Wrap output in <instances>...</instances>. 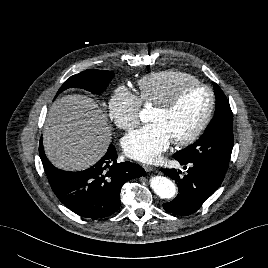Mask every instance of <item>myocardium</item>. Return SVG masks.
Returning a JSON list of instances; mask_svg holds the SVG:
<instances>
[{"mask_svg":"<svg viewBox=\"0 0 268 268\" xmlns=\"http://www.w3.org/2000/svg\"><path fill=\"white\" fill-rule=\"evenodd\" d=\"M194 87H200L208 91V94H209L208 106L202 119L200 120V122L197 124V126L189 135L178 140H172V143L178 147H184L195 142L199 138L203 130L206 128V126L208 125L211 119L213 110H214V105H215V94H214L213 89L210 86L200 81L188 82L178 87L174 91V93L170 96V98L166 100L164 103H161L155 106V108L158 111L167 113L171 111L177 105V103L179 102L184 92Z\"/></svg>","mask_w":268,"mask_h":268,"instance_id":"1","label":"myocardium"}]
</instances>
